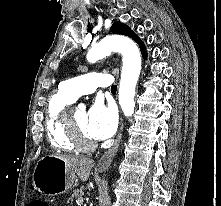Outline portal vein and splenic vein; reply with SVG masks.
<instances>
[{"instance_id": "portal-vein-and-splenic-vein-1", "label": "portal vein and splenic vein", "mask_w": 221, "mask_h": 206, "mask_svg": "<svg viewBox=\"0 0 221 206\" xmlns=\"http://www.w3.org/2000/svg\"><path fill=\"white\" fill-rule=\"evenodd\" d=\"M78 202H79L80 204H83V198H79Z\"/></svg>"}]
</instances>
